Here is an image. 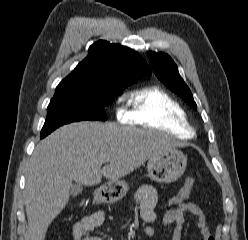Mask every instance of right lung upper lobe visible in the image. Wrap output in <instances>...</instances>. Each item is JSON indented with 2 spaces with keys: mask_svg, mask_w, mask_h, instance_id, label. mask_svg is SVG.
<instances>
[{
  "mask_svg": "<svg viewBox=\"0 0 248 240\" xmlns=\"http://www.w3.org/2000/svg\"><path fill=\"white\" fill-rule=\"evenodd\" d=\"M151 70L137 52L120 44L99 40L88 56L57 86L63 88H116L131 84Z\"/></svg>",
  "mask_w": 248,
  "mask_h": 240,
  "instance_id": "right-lung-upper-lobe-1",
  "label": "right lung upper lobe"
}]
</instances>
